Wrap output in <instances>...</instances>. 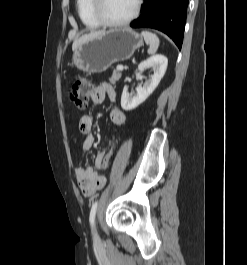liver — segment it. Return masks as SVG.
I'll use <instances>...</instances> for the list:
<instances>
[{"instance_id":"obj_1","label":"liver","mask_w":247,"mask_h":265,"mask_svg":"<svg viewBox=\"0 0 247 265\" xmlns=\"http://www.w3.org/2000/svg\"><path fill=\"white\" fill-rule=\"evenodd\" d=\"M103 33V31L91 32L89 34H85L81 36L79 39H76L72 44V50H74L79 44L83 43L84 41L96 37Z\"/></svg>"}]
</instances>
